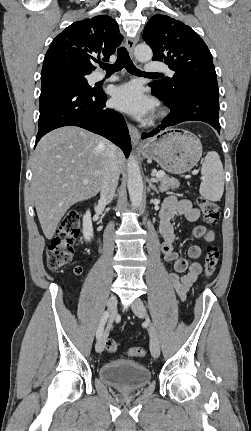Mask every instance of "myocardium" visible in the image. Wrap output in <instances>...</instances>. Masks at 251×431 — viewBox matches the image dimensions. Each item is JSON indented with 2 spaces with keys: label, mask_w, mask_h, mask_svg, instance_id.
I'll return each instance as SVG.
<instances>
[{
  "label": "myocardium",
  "mask_w": 251,
  "mask_h": 431,
  "mask_svg": "<svg viewBox=\"0 0 251 431\" xmlns=\"http://www.w3.org/2000/svg\"><path fill=\"white\" fill-rule=\"evenodd\" d=\"M163 115H164V112H163V111H159V112L157 113L156 117H162Z\"/></svg>",
  "instance_id": "obj_1"
}]
</instances>
